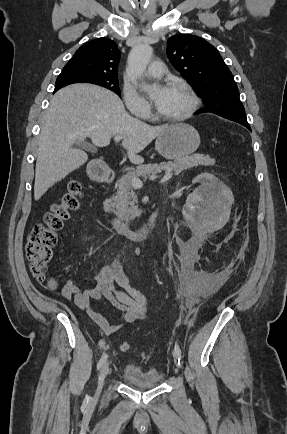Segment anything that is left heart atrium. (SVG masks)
Returning <instances> with one entry per match:
<instances>
[{
	"mask_svg": "<svg viewBox=\"0 0 287 434\" xmlns=\"http://www.w3.org/2000/svg\"><path fill=\"white\" fill-rule=\"evenodd\" d=\"M169 89V87H159L152 94V99L158 109L163 106L165 100L167 99Z\"/></svg>",
	"mask_w": 287,
	"mask_h": 434,
	"instance_id": "left-heart-atrium-1",
	"label": "left heart atrium"
}]
</instances>
